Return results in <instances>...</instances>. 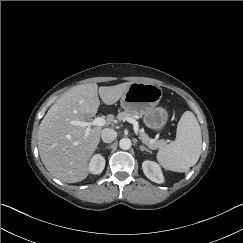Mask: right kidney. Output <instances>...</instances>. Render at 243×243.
I'll use <instances>...</instances> for the list:
<instances>
[{"instance_id":"obj_1","label":"right kidney","mask_w":243,"mask_h":243,"mask_svg":"<svg viewBox=\"0 0 243 243\" xmlns=\"http://www.w3.org/2000/svg\"><path fill=\"white\" fill-rule=\"evenodd\" d=\"M105 167V159L101 154H96L92 157L89 163V171L92 174H100Z\"/></svg>"}]
</instances>
